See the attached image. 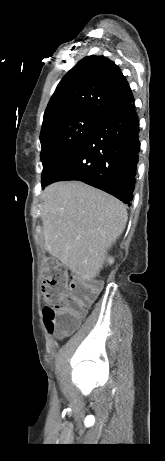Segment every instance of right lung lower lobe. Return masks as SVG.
<instances>
[{
    "label": "right lung lower lobe",
    "instance_id": "98d812e1",
    "mask_svg": "<svg viewBox=\"0 0 165 461\" xmlns=\"http://www.w3.org/2000/svg\"><path fill=\"white\" fill-rule=\"evenodd\" d=\"M134 101L106 116L47 183L79 180L130 205L140 151Z\"/></svg>",
    "mask_w": 165,
    "mask_h": 461
}]
</instances>
